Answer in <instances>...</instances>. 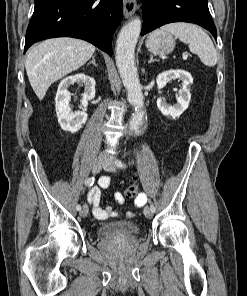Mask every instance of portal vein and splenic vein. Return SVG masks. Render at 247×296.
I'll list each match as a JSON object with an SVG mask.
<instances>
[{"label":"portal vein and splenic vein","mask_w":247,"mask_h":296,"mask_svg":"<svg viewBox=\"0 0 247 296\" xmlns=\"http://www.w3.org/2000/svg\"><path fill=\"white\" fill-rule=\"evenodd\" d=\"M187 57H188L187 55H184L183 59H184V60H186V59H187Z\"/></svg>","instance_id":"obj_1"}]
</instances>
